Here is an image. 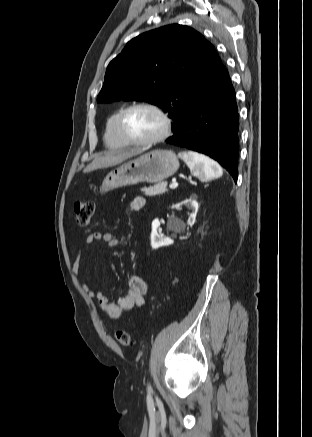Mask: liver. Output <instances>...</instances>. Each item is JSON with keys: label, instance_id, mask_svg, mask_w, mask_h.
Masks as SVG:
<instances>
[{"label": "liver", "instance_id": "1", "mask_svg": "<svg viewBox=\"0 0 312 437\" xmlns=\"http://www.w3.org/2000/svg\"><path fill=\"white\" fill-rule=\"evenodd\" d=\"M142 153L141 149L121 150L95 157L94 160L84 169V173L92 172L100 168H107L118 165L123 161Z\"/></svg>", "mask_w": 312, "mask_h": 437}]
</instances>
